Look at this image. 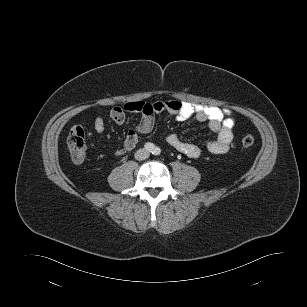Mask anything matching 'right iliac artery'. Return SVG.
Returning <instances> with one entry per match:
<instances>
[{
    "label": "right iliac artery",
    "mask_w": 307,
    "mask_h": 307,
    "mask_svg": "<svg viewBox=\"0 0 307 307\" xmlns=\"http://www.w3.org/2000/svg\"><path fill=\"white\" fill-rule=\"evenodd\" d=\"M144 148L147 150V151H153L154 150V144L148 142L144 145Z\"/></svg>",
    "instance_id": "82829eb1"
}]
</instances>
